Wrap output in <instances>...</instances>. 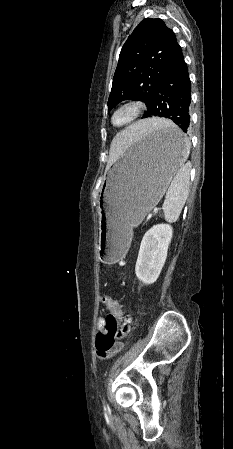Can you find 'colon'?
Instances as JSON below:
<instances>
[{
    "mask_svg": "<svg viewBox=\"0 0 233 449\" xmlns=\"http://www.w3.org/2000/svg\"><path fill=\"white\" fill-rule=\"evenodd\" d=\"M102 302L109 313L105 318V331L100 332L96 337V348L100 355L118 349L121 342L130 335L134 325L132 314L121 317L118 302L114 297L106 295Z\"/></svg>",
    "mask_w": 233,
    "mask_h": 449,
    "instance_id": "colon-1",
    "label": "colon"
}]
</instances>
